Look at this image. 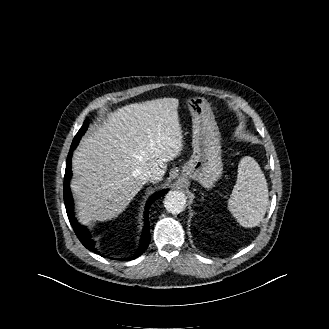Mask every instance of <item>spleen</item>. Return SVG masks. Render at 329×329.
Instances as JSON below:
<instances>
[{
	"instance_id": "3e777b00",
	"label": "spleen",
	"mask_w": 329,
	"mask_h": 329,
	"mask_svg": "<svg viewBox=\"0 0 329 329\" xmlns=\"http://www.w3.org/2000/svg\"><path fill=\"white\" fill-rule=\"evenodd\" d=\"M269 205L268 186L259 164L250 156L238 165L237 181L228 200V210L243 227H255Z\"/></svg>"
}]
</instances>
